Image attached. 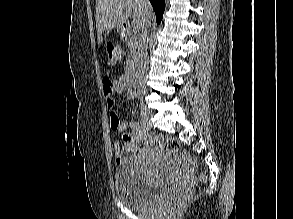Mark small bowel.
Returning a JSON list of instances; mask_svg holds the SVG:
<instances>
[{
    "label": "small bowel",
    "instance_id": "1",
    "mask_svg": "<svg viewBox=\"0 0 293 219\" xmlns=\"http://www.w3.org/2000/svg\"><path fill=\"white\" fill-rule=\"evenodd\" d=\"M127 84L125 76L120 77L118 80L112 81L109 78L103 79L104 94L107 101V108L110 113V126L115 132L128 131L123 134L121 139L115 138L114 152L116 163L124 165L135 162L139 159L144 151V147L149 144L150 140L145 130L136 121H122L118 118L114 110L115 100L113 95L121 93L126 90ZM126 97L133 100L137 97L136 93L131 90H126Z\"/></svg>",
    "mask_w": 293,
    "mask_h": 219
}]
</instances>
